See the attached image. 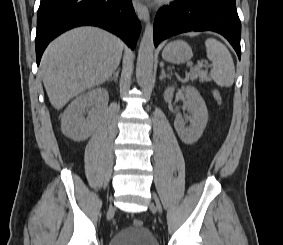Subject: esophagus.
I'll use <instances>...</instances> for the list:
<instances>
[{"label": "esophagus", "instance_id": "1", "mask_svg": "<svg viewBox=\"0 0 283 245\" xmlns=\"http://www.w3.org/2000/svg\"><path fill=\"white\" fill-rule=\"evenodd\" d=\"M133 7L138 15V17L144 21L147 22L150 18L148 8L139 2L138 0H133Z\"/></svg>", "mask_w": 283, "mask_h": 245}]
</instances>
